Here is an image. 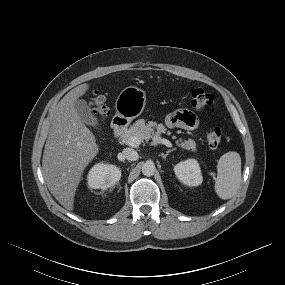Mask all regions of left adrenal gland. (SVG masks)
<instances>
[{"label":"left adrenal gland","mask_w":285,"mask_h":285,"mask_svg":"<svg viewBox=\"0 0 285 285\" xmlns=\"http://www.w3.org/2000/svg\"><path fill=\"white\" fill-rule=\"evenodd\" d=\"M174 150H176V148H173V149H170V150H168V151H166V154H161V156L164 158V159H166V157L169 155V153L170 152H172V151H174Z\"/></svg>","instance_id":"obj_1"}]
</instances>
